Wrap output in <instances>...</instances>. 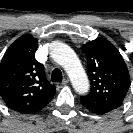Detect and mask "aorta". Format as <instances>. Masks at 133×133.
I'll return each instance as SVG.
<instances>
[{
	"label": "aorta",
	"instance_id": "1",
	"mask_svg": "<svg viewBox=\"0 0 133 133\" xmlns=\"http://www.w3.org/2000/svg\"><path fill=\"white\" fill-rule=\"evenodd\" d=\"M50 48L51 57L67 72L75 91L79 94L87 93L89 80L76 53L59 41L51 43Z\"/></svg>",
	"mask_w": 133,
	"mask_h": 133
}]
</instances>
